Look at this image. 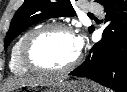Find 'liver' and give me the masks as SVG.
I'll return each instance as SVG.
<instances>
[{
	"label": "liver",
	"instance_id": "liver-1",
	"mask_svg": "<svg viewBox=\"0 0 127 92\" xmlns=\"http://www.w3.org/2000/svg\"><path fill=\"white\" fill-rule=\"evenodd\" d=\"M60 76L44 75L38 77H15L9 79L3 86V92H9L23 86H49L63 81Z\"/></svg>",
	"mask_w": 127,
	"mask_h": 92
}]
</instances>
